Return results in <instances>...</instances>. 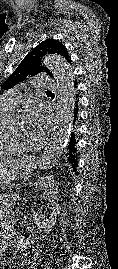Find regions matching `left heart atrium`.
I'll return each mask as SVG.
<instances>
[{
	"instance_id": "39dd6f15",
	"label": "left heart atrium",
	"mask_w": 118,
	"mask_h": 269,
	"mask_svg": "<svg viewBox=\"0 0 118 269\" xmlns=\"http://www.w3.org/2000/svg\"><path fill=\"white\" fill-rule=\"evenodd\" d=\"M24 120L26 132L33 139H40L49 131L51 116L41 102L32 101L27 104Z\"/></svg>"
}]
</instances>
